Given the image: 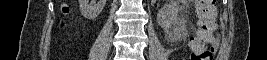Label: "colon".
Wrapping results in <instances>:
<instances>
[{"label":"colon","mask_w":267,"mask_h":60,"mask_svg":"<svg viewBox=\"0 0 267 60\" xmlns=\"http://www.w3.org/2000/svg\"><path fill=\"white\" fill-rule=\"evenodd\" d=\"M216 0L196 1V15L199 29L190 40L193 60H209L212 58L213 49L208 44V33L215 23Z\"/></svg>","instance_id":"5ec220e1"}]
</instances>
